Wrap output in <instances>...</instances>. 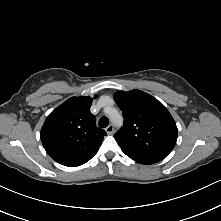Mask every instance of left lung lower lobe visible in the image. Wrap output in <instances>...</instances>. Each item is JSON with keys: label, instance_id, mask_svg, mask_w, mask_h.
Wrapping results in <instances>:
<instances>
[{"label": "left lung lower lobe", "instance_id": "left-lung-lower-lobe-1", "mask_svg": "<svg viewBox=\"0 0 221 221\" xmlns=\"http://www.w3.org/2000/svg\"><path fill=\"white\" fill-rule=\"evenodd\" d=\"M124 153L128 157L133 159L134 161L141 163V164H153L162 160L160 158L150 157V156L141 155V154L132 153V152H124Z\"/></svg>", "mask_w": 221, "mask_h": 221}]
</instances>
